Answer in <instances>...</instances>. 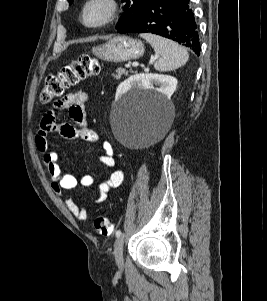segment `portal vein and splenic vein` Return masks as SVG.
I'll list each match as a JSON object with an SVG mask.
<instances>
[{"label":"portal vein and splenic vein","mask_w":267,"mask_h":301,"mask_svg":"<svg viewBox=\"0 0 267 301\" xmlns=\"http://www.w3.org/2000/svg\"><path fill=\"white\" fill-rule=\"evenodd\" d=\"M156 59H157L156 56H155V57H152V58L150 59L149 62L152 63V62H154ZM134 66H137V64H135ZM126 67H127V68L130 67V64H127Z\"/></svg>","instance_id":"1"}]
</instances>
